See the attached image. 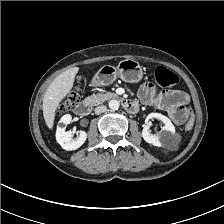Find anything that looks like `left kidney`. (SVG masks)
Instances as JSON below:
<instances>
[{
  "instance_id": "1",
  "label": "left kidney",
  "mask_w": 224,
  "mask_h": 224,
  "mask_svg": "<svg viewBox=\"0 0 224 224\" xmlns=\"http://www.w3.org/2000/svg\"><path fill=\"white\" fill-rule=\"evenodd\" d=\"M153 118L158 119L164 123L163 128L157 134H152L149 131L148 122ZM174 133L175 127L168 117L160 113H150L146 117L145 125L142 131V137L147 143L158 147L163 146V144L168 141Z\"/></svg>"
}]
</instances>
